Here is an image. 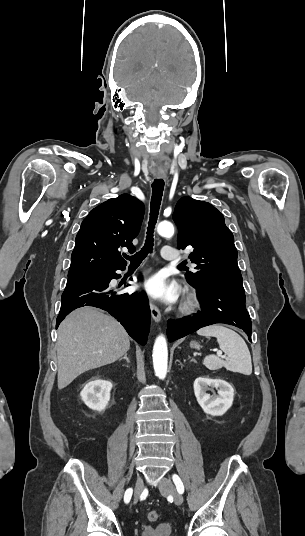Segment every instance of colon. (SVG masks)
<instances>
[{
  "instance_id": "colon-1",
  "label": "colon",
  "mask_w": 305,
  "mask_h": 536,
  "mask_svg": "<svg viewBox=\"0 0 305 536\" xmlns=\"http://www.w3.org/2000/svg\"><path fill=\"white\" fill-rule=\"evenodd\" d=\"M147 519L151 522L157 521L159 519V514L156 511H150L147 515Z\"/></svg>"
}]
</instances>
